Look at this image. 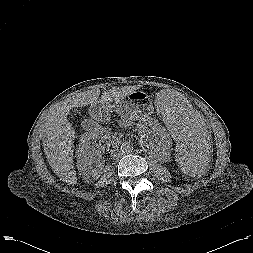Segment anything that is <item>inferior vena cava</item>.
<instances>
[{"label":"inferior vena cava","mask_w":253,"mask_h":253,"mask_svg":"<svg viewBox=\"0 0 253 253\" xmlns=\"http://www.w3.org/2000/svg\"><path fill=\"white\" fill-rule=\"evenodd\" d=\"M111 154L113 158H120L123 155V152L119 148H115L111 151Z\"/></svg>","instance_id":"inferior-vena-cava-1"}]
</instances>
